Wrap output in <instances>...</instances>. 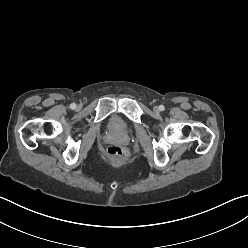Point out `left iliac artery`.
I'll use <instances>...</instances> for the list:
<instances>
[{
	"label": "left iliac artery",
	"mask_w": 248,
	"mask_h": 248,
	"mask_svg": "<svg viewBox=\"0 0 248 248\" xmlns=\"http://www.w3.org/2000/svg\"><path fill=\"white\" fill-rule=\"evenodd\" d=\"M159 109H160L161 111H163V110L165 109V107H164L163 105H160V106H159Z\"/></svg>",
	"instance_id": "obj_1"
}]
</instances>
